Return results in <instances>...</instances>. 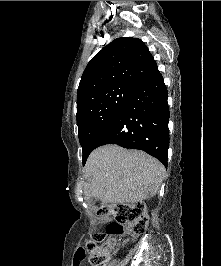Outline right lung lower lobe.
Instances as JSON below:
<instances>
[{
    "mask_svg": "<svg viewBox=\"0 0 221 266\" xmlns=\"http://www.w3.org/2000/svg\"><path fill=\"white\" fill-rule=\"evenodd\" d=\"M168 91L159 71L140 83L125 106L102 133L95 148L117 144L139 149L167 166L169 147Z\"/></svg>",
    "mask_w": 221,
    "mask_h": 266,
    "instance_id": "right-lung-lower-lobe-1",
    "label": "right lung lower lobe"
}]
</instances>
